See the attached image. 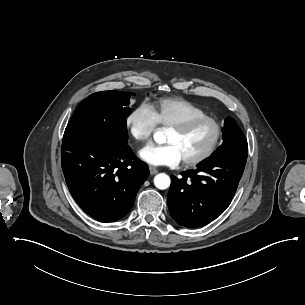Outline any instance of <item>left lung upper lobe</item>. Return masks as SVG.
I'll use <instances>...</instances> for the list:
<instances>
[{
  "label": "left lung upper lobe",
  "instance_id": "left-lung-upper-lobe-1",
  "mask_svg": "<svg viewBox=\"0 0 305 305\" xmlns=\"http://www.w3.org/2000/svg\"><path fill=\"white\" fill-rule=\"evenodd\" d=\"M223 130V144L214 154L231 151H248V144L242 130L231 117L225 119Z\"/></svg>",
  "mask_w": 305,
  "mask_h": 305
}]
</instances>
